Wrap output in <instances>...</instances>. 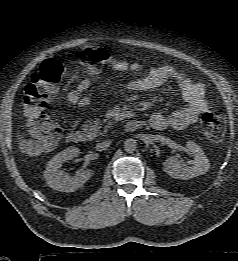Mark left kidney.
<instances>
[{"mask_svg":"<svg viewBox=\"0 0 238 261\" xmlns=\"http://www.w3.org/2000/svg\"><path fill=\"white\" fill-rule=\"evenodd\" d=\"M186 147L194 156L191 166L180 164L178 156H171L163 163V170L172 178L188 180L205 174L210 167L208 158L196 143L188 141Z\"/></svg>","mask_w":238,"mask_h":261,"instance_id":"5707ae66","label":"left kidney"}]
</instances>
